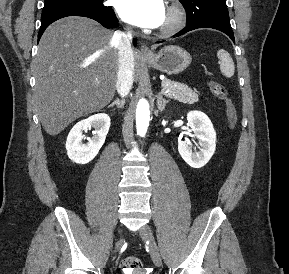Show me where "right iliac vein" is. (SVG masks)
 I'll use <instances>...</instances> for the list:
<instances>
[{
    "label": "right iliac vein",
    "mask_w": 289,
    "mask_h": 274,
    "mask_svg": "<svg viewBox=\"0 0 289 274\" xmlns=\"http://www.w3.org/2000/svg\"><path fill=\"white\" fill-rule=\"evenodd\" d=\"M122 243H123V239H120V240L117 242V248H120L121 245H122Z\"/></svg>",
    "instance_id": "obj_1"
}]
</instances>
